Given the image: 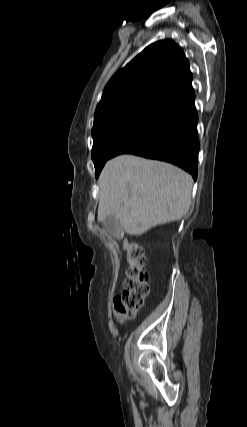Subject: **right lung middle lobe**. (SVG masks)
I'll list each match as a JSON object with an SVG mask.
<instances>
[{"label":"right lung middle lobe","instance_id":"dd1d6c3e","mask_svg":"<svg viewBox=\"0 0 247 427\" xmlns=\"http://www.w3.org/2000/svg\"><path fill=\"white\" fill-rule=\"evenodd\" d=\"M156 108L137 106L106 113L94 120L92 160L96 178L118 145Z\"/></svg>","mask_w":247,"mask_h":427}]
</instances>
